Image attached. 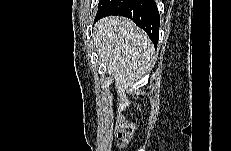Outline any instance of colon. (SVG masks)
Instances as JSON below:
<instances>
[{
	"label": "colon",
	"mask_w": 231,
	"mask_h": 151,
	"mask_svg": "<svg viewBox=\"0 0 231 151\" xmlns=\"http://www.w3.org/2000/svg\"><path fill=\"white\" fill-rule=\"evenodd\" d=\"M118 144L125 147L131 141L134 134V127L127 123L124 119H119L117 127Z\"/></svg>",
	"instance_id": "colon-1"
}]
</instances>
